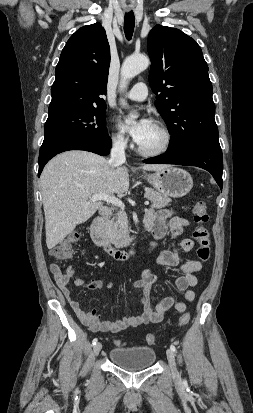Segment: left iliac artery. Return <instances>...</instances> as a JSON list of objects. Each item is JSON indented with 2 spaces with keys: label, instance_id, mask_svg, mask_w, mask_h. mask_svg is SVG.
<instances>
[{
  "label": "left iliac artery",
  "instance_id": "1",
  "mask_svg": "<svg viewBox=\"0 0 253 413\" xmlns=\"http://www.w3.org/2000/svg\"><path fill=\"white\" fill-rule=\"evenodd\" d=\"M170 349L173 351V353H176V348H175L174 345H171V346H170Z\"/></svg>",
  "mask_w": 253,
  "mask_h": 413
}]
</instances>
